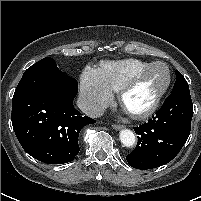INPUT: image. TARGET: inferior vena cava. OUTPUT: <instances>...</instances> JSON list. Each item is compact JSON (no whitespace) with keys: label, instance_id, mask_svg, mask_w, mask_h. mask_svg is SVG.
I'll return each mask as SVG.
<instances>
[{"label":"inferior vena cava","instance_id":"obj_1","mask_svg":"<svg viewBox=\"0 0 201 201\" xmlns=\"http://www.w3.org/2000/svg\"><path fill=\"white\" fill-rule=\"evenodd\" d=\"M77 106L84 114L91 118L100 117L105 111V108L101 104L84 97L78 98Z\"/></svg>","mask_w":201,"mask_h":201}]
</instances>
